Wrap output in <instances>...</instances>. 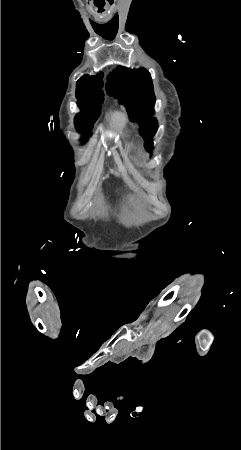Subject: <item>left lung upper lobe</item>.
<instances>
[{
    "mask_svg": "<svg viewBox=\"0 0 241 450\" xmlns=\"http://www.w3.org/2000/svg\"><path fill=\"white\" fill-rule=\"evenodd\" d=\"M106 90L109 95L124 104L132 121L143 123L140 134L144 136L146 148L151 151V138L157 131L154 114L155 95L150 73L145 68L130 69L118 66L109 74Z\"/></svg>",
    "mask_w": 241,
    "mask_h": 450,
    "instance_id": "1",
    "label": "left lung upper lobe"
}]
</instances>
